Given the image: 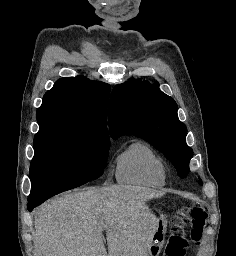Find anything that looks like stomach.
Returning a JSON list of instances; mask_svg holds the SVG:
<instances>
[{
	"label": "stomach",
	"mask_w": 236,
	"mask_h": 256,
	"mask_svg": "<svg viewBox=\"0 0 236 256\" xmlns=\"http://www.w3.org/2000/svg\"><path fill=\"white\" fill-rule=\"evenodd\" d=\"M167 229V221L165 218L158 219L157 227L153 235V242L150 247L148 256H158L162 247L163 241L165 238V233Z\"/></svg>",
	"instance_id": "1"
}]
</instances>
